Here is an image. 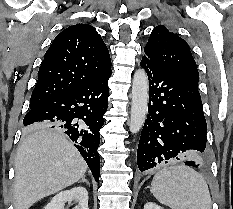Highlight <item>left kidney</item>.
<instances>
[{"label": "left kidney", "mask_w": 233, "mask_h": 209, "mask_svg": "<svg viewBox=\"0 0 233 209\" xmlns=\"http://www.w3.org/2000/svg\"><path fill=\"white\" fill-rule=\"evenodd\" d=\"M144 209H163V208L153 202H147L144 205Z\"/></svg>", "instance_id": "5707ae66"}]
</instances>
